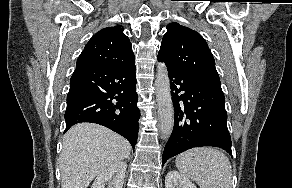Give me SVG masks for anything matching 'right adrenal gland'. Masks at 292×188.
<instances>
[{
  "label": "right adrenal gland",
  "instance_id": "right-adrenal-gland-1",
  "mask_svg": "<svg viewBox=\"0 0 292 188\" xmlns=\"http://www.w3.org/2000/svg\"><path fill=\"white\" fill-rule=\"evenodd\" d=\"M129 159H130V157L128 156V157H127V160L129 161Z\"/></svg>",
  "mask_w": 292,
  "mask_h": 188
}]
</instances>
